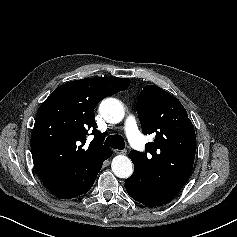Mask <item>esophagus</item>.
Here are the masks:
<instances>
[{
    "instance_id": "1",
    "label": "esophagus",
    "mask_w": 237,
    "mask_h": 237,
    "mask_svg": "<svg viewBox=\"0 0 237 237\" xmlns=\"http://www.w3.org/2000/svg\"><path fill=\"white\" fill-rule=\"evenodd\" d=\"M114 151L117 154H122V155H126L127 154V150L126 149H124V150H114Z\"/></svg>"
}]
</instances>
